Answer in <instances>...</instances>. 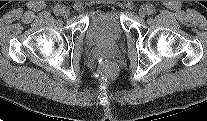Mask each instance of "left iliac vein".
<instances>
[{
  "mask_svg": "<svg viewBox=\"0 0 207 121\" xmlns=\"http://www.w3.org/2000/svg\"><path fill=\"white\" fill-rule=\"evenodd\" d=\"M148 14V8L146 6H142L140 9H139V15L141 17H145L146 15Z\"/></svg>",
  "mask_w": 207,
  "mask_h": 121,
  "instance_id": "left-iliac-vein-1",
  "label": "left iliac vein"
}]
</instances>
